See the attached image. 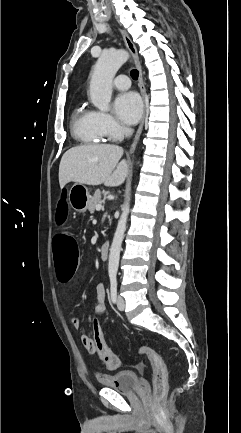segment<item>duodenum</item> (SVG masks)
<instances>
[{"label":"duodenum","instance_id":"1","mask_svg":"<svg viewBox=\"0 0 241 433\" xmlns=\"http://www.w3.org/2000/svg\"><path fill=\"white\" fill-rule=\"evenodd\" d=\"M110 246L107 242H104L100 245V257L103 261H106L109 256Z\"/></svg>","mask_w":241,"mask_h":433}]
</instances>
